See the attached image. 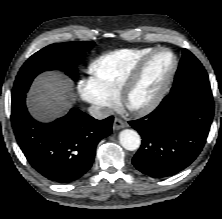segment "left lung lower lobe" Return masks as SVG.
<instances>
[{
	"label": "left lung lower lobe",
	"instance_id": "1",
	"mask_svg": "<svg viewBox=\"0 0 222 219\" xmlns=\"http://www.w3.org/2000/svg\"><path fill=\"white\" fill-rule=\"evenodd\" d=\"M213 114L212 95L191 89L171 91L152 113L129 121L142 137L132 163L156 178L185 169L201 152Z\"/></svg>",
	"mask_w": 222,
	"mask_h": 219
}]
</instances>
